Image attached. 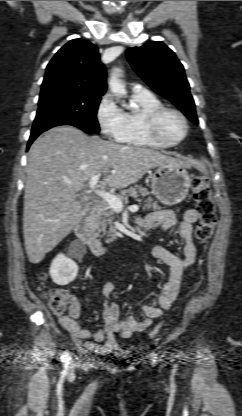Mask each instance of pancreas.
<instances>
[{"instance_id": "obj_1", "label": "pancreas", "mask_w": 242, "mask_h": 416, "mask_svg": "<svg viewBox=\"0 0 242 416\" xmlns=\"http://www.w3.org/2000/svg\"><path fill=\"white\" fill-rule=\"evenodd\" d=\"M150 193L146 188L143 187H133L128 190L122 191L120 194L117 195L121 200L127 199L128 197H133L140 201L141 197H146L145 204L143 205V209H159V205L157 201H155L152 197L149 196ZM114 215L115 210L106 202L102 201L99 206L97 207L95 213L92 214L91 221L93 229L97 231L96 236H100L99 233L103 232L106 234V228L108 225H110V229L108 231V236L113 238L115 227L114 224Z\"/></svg>"}]
</instances>
